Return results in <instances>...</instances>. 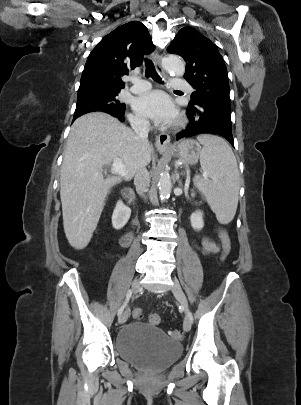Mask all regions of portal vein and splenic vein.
Instances as JSON below:
<instances>
[{"label":"portal vein and splenic vein","instance_id":"1","mask_svg":"<svg viewBox=\"0 0 301 405\" xmlns=\"http://www.w3.org/2000/svg\"><path fill=\"white\" fill-rule=\"evenodd\" d=\"M112 171L115 172L116 174H119L121 176L126 175V170L125 166L122 163V161L119 158H115L112 163ZM187 179H189V176H187Z\"/></svg>","mask_w":301,"mask_h":405}]
</instances>
